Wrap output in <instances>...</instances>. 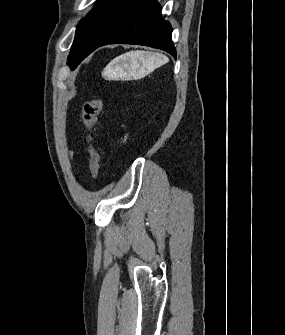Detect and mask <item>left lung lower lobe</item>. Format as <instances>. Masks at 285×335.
<instances>
[{
    "label": "left lung lower lobe",
    "mask_w": 285,
    "mask_h": 335,
    "mask_svg": "<svg viewBox=\"0 0 285 335\" xmlns=\"http://www.w3.org/2000/svg\"><path fill=\"white\" fill-rule=\"evenodd\" d=\"M172 28L155 0H111L85 34L79 63L106 44H136L159 48L176 58Z\"/></svg>",
    "instance_id": "left-lung-lower-lobe-1"
}]
</instances>
